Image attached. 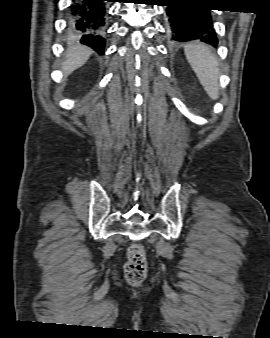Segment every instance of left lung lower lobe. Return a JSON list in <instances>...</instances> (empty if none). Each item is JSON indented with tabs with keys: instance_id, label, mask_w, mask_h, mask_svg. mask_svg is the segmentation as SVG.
<instances>
[{
	"instance_id": "1",
	"label": "left lung lower lobe",
	"mask_w": 270,
	"mask_h": 338,
	"mask_svg": "<svg viewBox=\"0 0 270 338\" xmlns=\"http://www.w3.org/2000/svg\"><path fill=\"white\" fill-rule=\"evenodd\" d=\"M167 34L174 43L200 40L216 46L218 43L211 21L210 8H200L195 0H165Z\"/></svg>"
}]
</instances>
